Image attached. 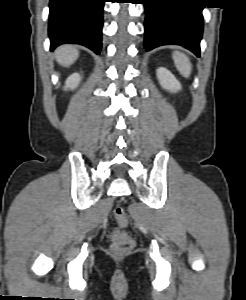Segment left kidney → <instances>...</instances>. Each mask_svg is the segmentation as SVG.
Listing matches in <instances>:
<instances>
[{
  "label": "left kidney",
  "mask_w": 246,
  "mask_h": 300,
  "mask_svg": "<svg viewBox=\"0 0 246 300\" xmlns=\"http://www.w3.org/2000/svg\"><path fill=\"white\" fill-rule=\"evenodd\" d=\"M157 78L160 85L173 93L181 90V84L176 77L166 68L160 67L157 69Z\"/></svg>",
  "instance_id": "left-kidney-1"
}]
</instances>
